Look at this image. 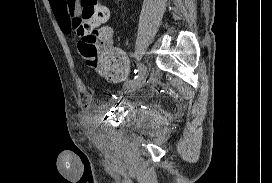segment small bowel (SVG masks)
<instances>
[{
  "instance_id": "c3829d8e",
  "label": "small bowel",
  "mask_w": 272,
  "mask_h": 183,
  "mask_svg": "<svg viewBox=\"0 0 272 183\" xmlns=\"http://www.w3.org/2000/svg\"><path fill=\"white\" fill-rule=\"evenodd\" d=\"M50 6L52 8L53 14L61 28V30L65 34H69L71 30L67 25L68 19V11H67V3L68 0H49ZM78 7H75V12H77ZM103 30L107 33L105 38L103 39L104 44L117 55V61L114 63L113 66L100 69L98 72L103 75L107 80L112 82H118L126 78L129 73V61L126 54L118 48L113 46V33L112 30L108 27L103 28ZM90 114L88 111H84L80 115V119H85Z\"/></svg>"
}]
</instances>
